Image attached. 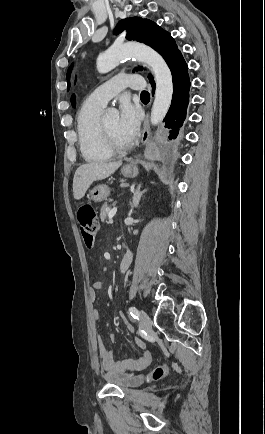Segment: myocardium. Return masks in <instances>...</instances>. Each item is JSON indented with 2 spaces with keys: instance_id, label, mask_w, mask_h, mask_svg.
<instances>
[{
  "instance_id": "obj_1",
  "label": "myocardium",
  "mask_w": 265,
  "mask_h": 434,
  "mask_svg": "<svg viewBox=\"0 0 265 434\" xmlns=\"http://www.w3.org/2000/svg\"><path fill=\"white\" fill-rule=\"evenodd\" d=\"M102 126L106 137L107 145L113 153L122 154L131 149L132 147L131 144L122 145L118 143L114 139L113 134L111 133L110 129L107 127V125L104 122L102 123Z\"/></svg>"
}]
</instances>
